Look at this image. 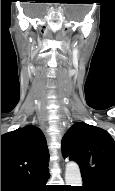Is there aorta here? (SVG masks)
Here are the masks:
<instances>
[{
  "instance_id": "1",
  "label": "aorta",
  "mask_w": 115,
  "mask_h": 191,
  "mask_svg": "<svg viewBox=\"0 0 115 191\" xmlns=\"http://www.w3.org/2000/svg\"><path fill=\"white\" fill-rule=\"evenodd\" d=\"M65 182L67 185L71 186L82 185V177L77 163L75 162L67 163L65 170Z\"/></svg>"
}]
</instances>
